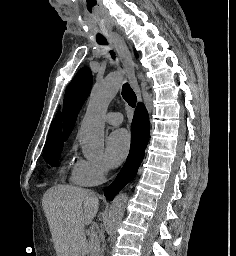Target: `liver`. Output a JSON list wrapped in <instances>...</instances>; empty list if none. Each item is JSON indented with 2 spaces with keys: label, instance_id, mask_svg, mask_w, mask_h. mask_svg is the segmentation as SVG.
<instances>
[{
  "label": "liver",
  "instance_id": "liver-1",
  "mask_svg": "<svg viewBox=\"0 0 236 256\" xmlns=\"http://www.w3.org/2000/svg\"><path fill=\"white\" fill-rule=\"evenodd\" d=\"M57 256H85V224L98 212L99 200L84 188L53 186L42 202Z\"/></svg>",
  "mask_w": 236,
  "mask_h": 256
}]
</instances>
